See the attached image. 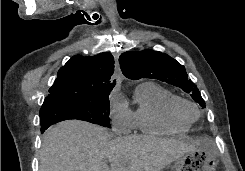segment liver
I'll return each instance as SVG.
<instances>
[{
  "label": "liver",
  "instance_id": "1",
  "mask_svg": "<svg viewBox=\"0 0 245 171\" xmlns=\"http://www.w3.org/2000/svg\"><path fill=\"white\" fill-rule=\"evenodd\" d=\"M200 145L155 136L111 139L103 128L68 120L45 132L39 171H160Z\"/></svg>",
  "mask_w": 245,
  "mask_h": 171
}]
</instances>
